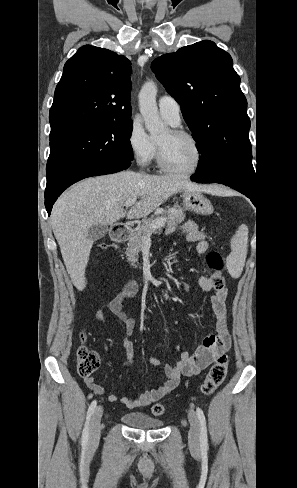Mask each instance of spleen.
<instances>
[{"label": "spleen", "mask_w": 297, "mask_h": 488, "mask_svg": "<svg viewBox=\"0 0 297 488\" xmlns=\"http://www.w3.org/2000/svg\"><path fill=\"white\" fill-rule=\"evenodd\" d=\"M248 229L240 226L231 239V253L227 258V268L233 278L240 277L247 255Z\"/></svg>", "instance_id": "3e777b00"}]
</instances>
